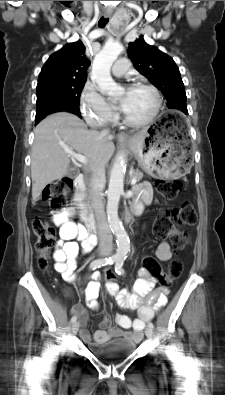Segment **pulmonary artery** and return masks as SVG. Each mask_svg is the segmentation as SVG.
<instances>
[{
  "label": "pulmonary artery",
  "mask_w": 225,
  "mask_h": 395,
  "mask_svg": "<svg viewBox=\"0 0 225 395\" xmlns=\"http://www.w3.org/2000/svg\"><path fill=\"white\" fill-rule=\"evenodd\" d=\"M128 68L129 61L126 58H120L114 63L112 73L115 76H122L127 72Z\"/></svg>",
  "instance_id": "e3ab8cb5"
}]
</instances>
